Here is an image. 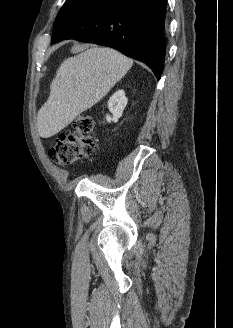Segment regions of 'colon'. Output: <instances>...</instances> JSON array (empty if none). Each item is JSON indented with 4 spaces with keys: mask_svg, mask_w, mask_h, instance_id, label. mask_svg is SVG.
<instances>
[{
    "mask_svg": "<svg viewBox=\"0 0 233 328\" xmlns=\"http://www.w3.org/2000/svg\"><path fill=\"white\" fill-rule=\"evenodd\" d=\"M93 131L92 117L87 114L78 116L72 122V129L61 132L50 148L52 161L65 166L91 155L96 149Z\"/></svg>",
    "mask_w": 233,
    "mask_h": 328,
    "instance_id": "obj_1",
    "label": "colon"
}]
</instances>
